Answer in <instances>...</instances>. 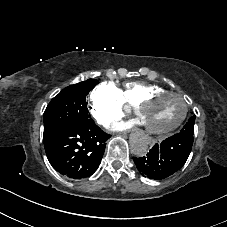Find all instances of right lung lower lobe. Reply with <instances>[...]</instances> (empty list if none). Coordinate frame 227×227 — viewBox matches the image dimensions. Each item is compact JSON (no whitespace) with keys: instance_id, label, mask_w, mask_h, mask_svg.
I'll use <instances>...</instances> for the list:
<instances>
[{"instance_id":"right-lung-lower-lobe-1","label":"right lung lower lobe","mask_w":227,"mask_h":227,"mask_svg":"<svg viewBox=\"0 0 227 227\" xmlns=\"http://www.w3.org/2000/svg\"><path fill=\"white\" fill-rule=\"evenodd\" d=\"M110 135L94 122L64 127L44 138L52 167L72 179L91 176L99 167Z\"/></svg>"}]
</instances>
